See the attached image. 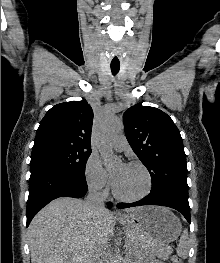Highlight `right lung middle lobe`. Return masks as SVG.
Wrapping results in <instances>:
<instances>
[{"instance_id": "1", "label": "right lung middle lobe", "mask_w": 220, "mask_h": 263, "mask_svg": "<svg viewBox=\"0 0 220 263\" xmlns=\"http://www.w3.org/2000/svg\"><path fill=\"white\" fill-rule=\"evenodd\" d=\"M91 149L49 148L31 154L30 166L48 165L77 175H85Z\"/></svg>"}]
</instances>
